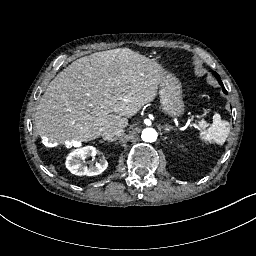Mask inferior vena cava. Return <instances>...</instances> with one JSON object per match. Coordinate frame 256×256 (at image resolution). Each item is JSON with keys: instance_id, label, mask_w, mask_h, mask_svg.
Listing matches in <instances>:
<instances>
[{"instance_id": "602c4592", "label": "inferior vena cava", "mask_w": 256, "mask_h": 256, "mask_svg": "<svg viewBox=\"0 0 256 256\" xmlns=\"http://www.w3.org/2000/svg\"><path fill=\"white\" fill-rule=\"evenodd\" d=\"M123 130L121 128H115V129H109L106 132H103L101 134V137L104 140L108 141H115L117 137H119L122 134Z\"/></svg>"}]
</instances>
